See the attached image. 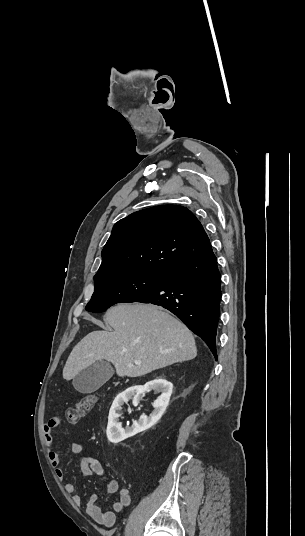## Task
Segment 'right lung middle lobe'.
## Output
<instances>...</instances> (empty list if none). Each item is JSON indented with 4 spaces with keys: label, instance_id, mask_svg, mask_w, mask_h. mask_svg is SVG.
Here are the masks:
<instances>
[{
    "label": "right lung middle lobe",
    "instance_id": "right-lung-middle-lobe-1",
    "mask_svg": "<svg viewBox=\"0 0 305 536\" xmlns=\"http://www.w3.org/2000/svg\"><path fill=\"white\" fill-rule=\"evenodd\" d=\"M168 273L131 272L120 277L95 280L94 293L85 309L104 312L116 303H131L156 288Z\"/></svg>",
    "mask_w": 305,
    "mask_h": 536
}]
</instances>
